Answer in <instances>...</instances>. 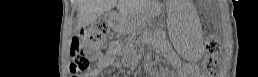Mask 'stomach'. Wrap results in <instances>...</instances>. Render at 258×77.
<instances>
[{
	"instance_id": "1",
	"label": "stomach",
	"mask_w": 258,
	"mask_h": 77,
	"mask_svg": "<svg viewBox=\"0 0 258 77\" xmlns=\"http://www.w3.org/2000/svg\"><path fill=\"white\" fill-rule=\"evenodd\" d=\"M131 22L127 19L123 20V25L124 27H126L127 25H129Z\"/></svg>"
}]
</instances>
